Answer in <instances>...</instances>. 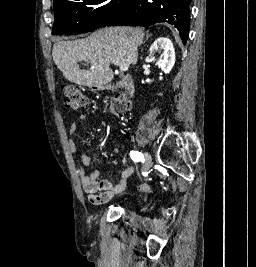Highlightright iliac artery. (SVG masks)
<instances>
[{"label": "right iliac artery", "mask_w": 256, "mask_h": 267, "mask_svg": "<svg viewBox=\"0 0 256 267\" xmlns=\"http://www.w3.org/2000/svg\"><path fill=\"white\" fill-rule=\"evenodd\" d=\"M130 157L134 162H139L140 160L143 159V154L138 151H131Z\"/></svg>", "instance_id": "right-iliac-artery-1"}]
</instances>
